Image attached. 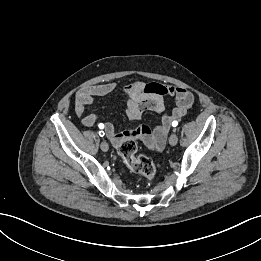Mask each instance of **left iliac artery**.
Wrapping results in <instances>:
<instances>
[{"label":"left iliac artery","instance_id":"44dca946","mask_svg":"<svg viewBox=\"0 0 261 261\" xmlns=\"http://www.w3.org/2000/svg\"><path fill=\"white\" fill-rule=\"evenodd\" d=\"M177 125H178V122H177V121H173V122H172V126H173V127H176Z\"/></svg>","mask_w":261,"mask_h":261}]
</instances>
